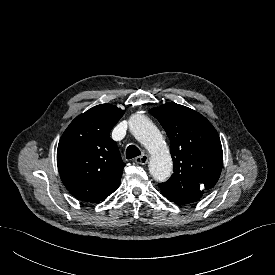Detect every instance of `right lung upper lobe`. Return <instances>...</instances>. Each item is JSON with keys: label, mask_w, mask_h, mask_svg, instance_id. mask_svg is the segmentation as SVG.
Returning a JSON list of instances; mask_svg holds the SVG:
<instances>
[{"label": "right lung upper lobe", "mask_w": 275, "mask_h": 275, "mask_svg": "<svg viewBox=\"0 0 275 275\" xmlns=\"http://www.w3.org/2000/svg\"><path fill=\"white\" fill-rule=\"evenodd\" d=\"M116 106L101 104L76 117L57 149L61 180L77 199L96 203L120 185L125 163L110 131L123 116Z\"/></svg>", "instance_id": "obj_1"}]
</instances>
